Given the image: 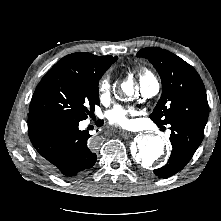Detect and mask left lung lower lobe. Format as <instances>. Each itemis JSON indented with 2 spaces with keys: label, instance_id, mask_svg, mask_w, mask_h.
<instances>
[{
  "label": "left lung lower lobe",
  "instance_id": "1",
  "mask_svg": "<svg viewBox=\"0 0 221 221\" xmlns=\"http://www.w3.org/2000/svg\"><path fill=\"white\" fill-rule=\"evenodd\" d=\"M170 130V142L173 148L170 159L165 166L154 170L155 175L161 178L170 177L183 169L204 136V128L182 121L171 123Z\"/></svg>",
  "mask_w": 221,
  "mask_h": 221
}]
</instances>
